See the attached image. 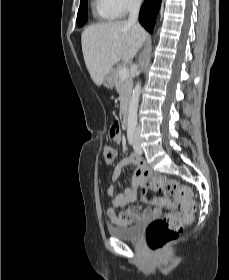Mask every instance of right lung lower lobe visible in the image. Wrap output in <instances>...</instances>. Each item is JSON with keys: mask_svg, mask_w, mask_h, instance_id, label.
Instances as JSON below:
<instances>
[{"mask_svg": "<svg viewBox=\"0 0 229 280\" xmlns=\"http://www.w3.org/2000/svg\"><path fill=\"white\" fill-rule=\"evenodd\" d=\"M160 3L161 0H146L140 10L139 21L150 33L152 32Z\"/></svg>", "mask_w": 229, "mask_h": 280, "instance_id": "1", "label": "right lung lower lobe"}]
</instances>
